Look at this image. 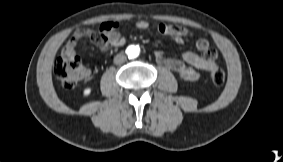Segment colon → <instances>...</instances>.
Instances as JSON below:
<instances>
[{
    "label": "colon",
    "mask_w": 283,
    "mask_h": 162,
    "mask_svg": "<svg viewBox=\"0 0 283 162\" xmlns=\"http://www.w3.org/2000/svg\"><path fill=\"white\" fill-rule=\"evenodd\" d=\"M53 72L66 88H73L86 76L87 69L77 56L64 55L55 61ZM210 79L215 86L224 84L225 71L220 64L210 69Z\"/></svg>",
    "instance_id": "1"
}]
</instances>
